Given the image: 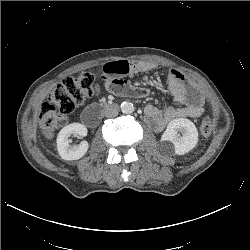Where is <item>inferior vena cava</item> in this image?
<instances>
[{"label":"inferior vena cava","mask_w":250,"mask_h":250,"mask_svg":"<svg viewBox=\"0 0 250 250\" xmlns=\"http://www.w3.org/2000/svg\"><path fill=\"white\" fill-rule=\"evenodd\" d=\"M118 113H119V111H118L117 107L110 106V107L105 109L104 115H105V117L109 118V117L117 116Z\"/></svg>","instance_id":"obj_1"}]
</instances>
